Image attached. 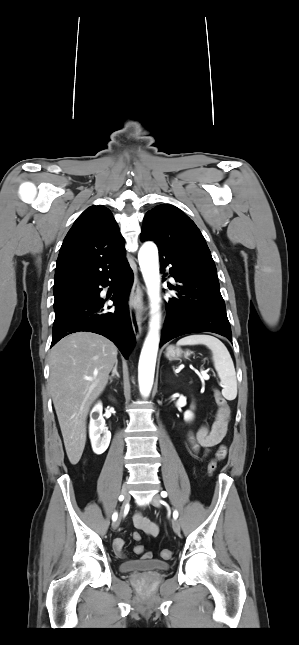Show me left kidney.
I'll return each instance as SVG.
<instances>
[{"label": "left kidney", "instance_id": "left-kidney-1", "mask_svg": "<svg viewBox=\"0 0 299 645\" xmlns=\"http://www.w3.org/2000/svg\"><path fill=\"white\" fill-rule=\"evenodd\" d=\"M193 417H194V414L192 413V411H186L184 413V420L185 421H191L193 419Z\"/></svg>", "mask_w": 299, "mask_h": 645}]
</instances>
